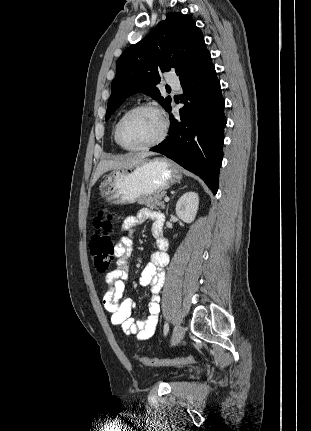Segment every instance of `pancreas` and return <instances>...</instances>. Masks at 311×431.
Masks as SVG:
<instances>
[{"instance_id": "pancreas-1", "label": "pancreas", "mask_w": 311, "mask_h": 431, "mask_svg": "<svg viewBox=\"0 0 311 431\" xmlns=\"http://www.w3.org/2000/svg\"><path fill=\"white\" fill-rule=\"evenodd\" d=\"M166 194L167 192H160V194H153V196H143V198H139L138 204L147 206L150 210H163L164 204L161 200Z\"/></svg>"}]
</instances>
